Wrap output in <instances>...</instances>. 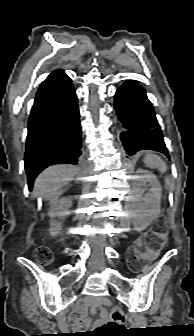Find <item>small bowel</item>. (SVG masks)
Returning <instances> with one entry per match:
<instances>
[{
  "label": "small bowel",
  "instance_id": "obj_1",
  "mask_svg": "<svg viewBox=\"0 0 194 336\" xmlns=\"http://www.w3.org/2000/svg\"><path fill=\"white\" fill-rule=\"evenodd\" d=\"M74 321L77 325H82L85 322V318L77 317L74 319Z\"/></svg>",
  "mask_w": 194,
  "mask_h": 336
}]
</instances>
